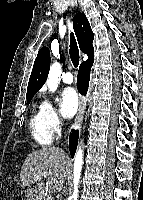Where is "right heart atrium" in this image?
Segmentation results:
<instances>
[{"mask_svg": "<svg viewBox=\"0 0 143 200\" xmlns=\"http://www.w3.org/2000/svg\"><path fill=\"white\" fill-rule=\"evenodd\" d=\"M40 107L43 112L44 121L48 132L52 136L58 135L62 129V120L58 111L48 99H44Z\"/></svg>", "mask_w": 143, "mask_h": 200, "instance_id": "d8ad5b80", "label": "right heart atrium"}]
</instances>
